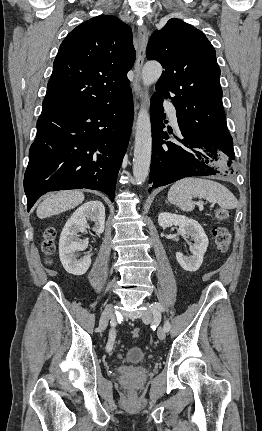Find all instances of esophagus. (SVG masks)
I'll use <instances>...</instances> for the list:
<instances>
[{
    "label": "esophagus",
    "instance_id": "1",
    "mask_svg": "<svg viewBox=\"0 0 262 431\" xmlns=\"http://www.w3.org/2000/svg\"><path fill=\"white\" fill-rule=\"evenodd\" d=\"M148 30L146 26H140L138 28V37H137V58L134 65V81L133 88L136 92L137 96L140 100H144L146 93L143 91L141 87V71L145 58V51L148 42Z\"/></svg>",
    "mask_w": 262,
    "mask_h": 431
}]
</instances>
